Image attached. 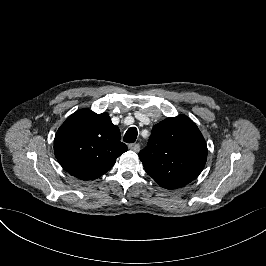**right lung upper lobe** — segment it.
Here are the masks:
<instances>
[{
	"instance_id": "obj_1",
	"label": "right lung upper lobe",
	"mask_w": 266,
	"mask_h": 266,
	"mask_svg": "<svg viewBox=\"0 0 266 266\" xmlns=\"http://www.w3.org/2000/svg\"><path fill=\"white\" fill-rule=\"evenodd\" d=\"M126 151L127 146L120 142V130L109 115L89 109L69 116L54 140V153L60 165L81 180L99 178Z\"/></svg>"
}]
</instances>
